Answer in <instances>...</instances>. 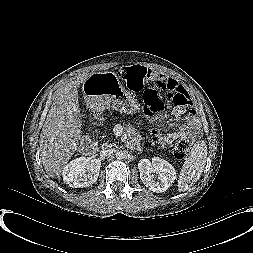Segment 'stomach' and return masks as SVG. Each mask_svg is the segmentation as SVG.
<instances>
[{"instance_id": "0dacf381", "label": "stomach", "mask_w": 253, "mask_h": 253, "mask_svg": "<svg viewBox=\"0 0 253 253\" xmlns=\"http://www.w3.org/2000/svg\"><path fill=\"white\" fill-rule=\"evenodd\" d=\"M83 95L89 105L96 109H113L135 114L139 106L130 93L124 91L115 74L96 73L83 83Z\"/></svg>"}]
</instances>
